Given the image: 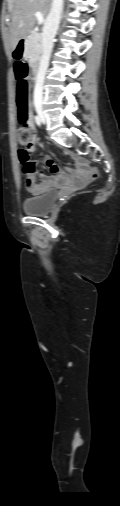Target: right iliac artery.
I'll use <instances>...</instances> for the list:
<instances>
[{
    "label": "right iliac artery",
    "mask_w": 120,
    "mask_h": 506,
    "mask_svg": "<svg viewBox=\"0 0 120 506\" xmlns=\"http://www.w3.org/2000/svg\"><path fill=\"white\" fill-rule=\"evenodd\" d=\"M34 119H35L36 124H37L38 126H40V125H41V119H40V117L36 115V116L34 117Z\"/></svg>",
    "instance_id": "82829eb1"
}]
</instances>
